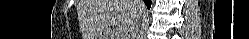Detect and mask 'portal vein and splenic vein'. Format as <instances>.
I'll list each match as a JSON object with an SVG mask.
<instances>
[{
	"mask_svg": "<svg viewBox=\"0 0 249 39\" xmlns=\"http://www.w3.org/2000/svg\"><path fill=\"white\" fill-rule=\"evenodd\" d=\"M124 31H125V29H124V28H122V29L120 30V33L124 32Z\"/></svg>",
	"mask_w": 249,
	"mask_h": 39,
	"instance_id": "obj_1",
	"label": "portal vein and splenic vein"
}]
</instances>
